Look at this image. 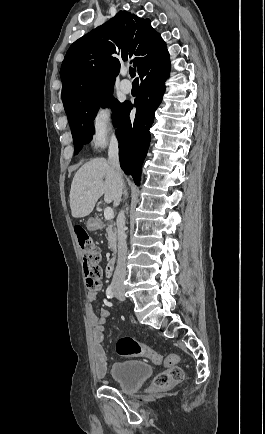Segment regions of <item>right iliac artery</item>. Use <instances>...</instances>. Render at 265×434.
I'll list each match as a JSON object with an SVG mask.
<instances>
[{
    "mask_svg": "<svg viewBox=\"0 0 265 434\" xmlns=\"http://www.w3.org/2000/svg\"><path fill=\"white\" fill-rule=\"evenodd\" d=\"M106 295H107V298H113V296H114V289H113L112 285L108 286V288L106 290Z\"/></svg>",
    "mask_w": 265,
    "mask_h": 434,
    "instance_id": "82829eb1",
    "label": "right iliac artery"
}]
</instances>
